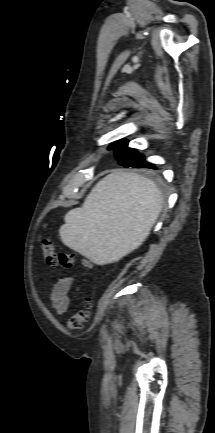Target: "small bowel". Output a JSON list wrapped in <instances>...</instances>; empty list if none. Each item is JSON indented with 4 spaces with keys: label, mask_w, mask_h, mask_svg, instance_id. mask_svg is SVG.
<instances>
[{
    "label": "small bowel",
    "mask_w": 215,
    "mask_h": 433,
    "mask_svg": "<svg viewBox=\"0 0 215 433\" xmlns=\"http://www.w3.org/2000/svg\"><path fill=\"white\" fill-rule=\"evenodd\" d=\"M73 284V278L64 276L55 283L50 299L52 306L58 315H63L67 312L70 305L69 292Z\"/></svg>",
    "instance_id": "c3829d8e"
}]
</instances>
